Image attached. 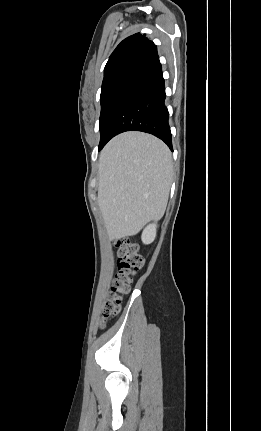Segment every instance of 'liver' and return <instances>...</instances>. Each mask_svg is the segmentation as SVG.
<instances>
[{
  "label": "liver",
  "instance_id": "obj_1",
  "mask_svg": "<svg viewBox=\"0 0 261 431\" xmlns=\"http://www.w3.org/2000/svg\"><path fill=\"white\" fill-rule=\"evenodd\" d=\"M172 154L158 138L136 131L111 139L99 158L98 205L110 240L136 235L164 214Z\"/></svg>",
  "mask_w": 261,
  "mask_h": 431
}]
</instances>
